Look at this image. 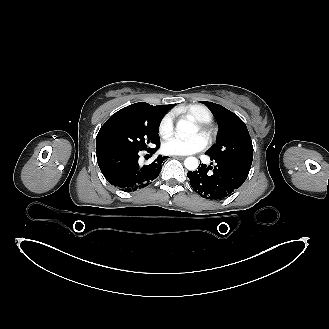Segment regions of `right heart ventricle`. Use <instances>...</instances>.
<instances>
[{
  "label": "right heart ventricle",
  "mask_w": 329,
  "mask_h": 329,
  "mask_svg": "<svg viewBox=\"0 0 329 329\" xmlns=\"http://www.w3.org/2000/svg\"><path fill=\"white\" fill-rule=\"evenodd\" d=\"M179 112L184 113L198 123H209L213 119L211 111L201 104L186 106L180 109Z\"/></svg>",
  "instance_id": "right-heart-ventricle-1"
}]
</instances>
